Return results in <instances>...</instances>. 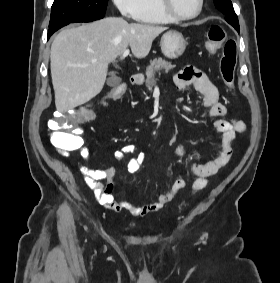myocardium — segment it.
<instances>
[{
	"mask_svg": "<svg viewBox=\"0 0 280 283\" xmlns=\"http://www.w3.org/2000/svg\"><path fill=\"white\" fill-rule=\"evenodd\" d=\"M159 4H160L162 11L167 16L172 18L173 20H175V21H187V20L195 19L201 14L203 7H204V0H199L197 10L191 15H181V14L177 13L174 10V8L172 7L171 0H159Z\"/></svg>",
	"mask_w": 280,
	"mask_h": 283,
	"instance_id": "myocardium-1",
	"label": "myocardium"
}]
</instances>
